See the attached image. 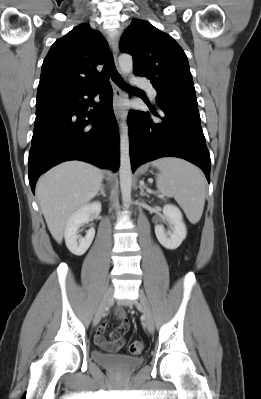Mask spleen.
Here are the masks:
<instances>
[{
    "instance_id": "obj_1",
    "label": "spleen",
    "mask_w": 261,
    "mask_h": 399,
    "mask_svg": "<svg viewBox=\"0 0 261 399\" xmlns=\"http://www.w3.org/2000/svg\"><path fill=\"white\" fill-rule=\"evenodd\" d=\"M160 171L157 188L168 197H174L191 223H197L205 204L206 180L195 165L174 157L152 162Z\"/></svg>"
}]
</instances>
